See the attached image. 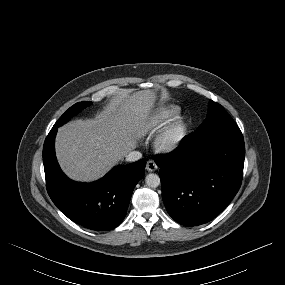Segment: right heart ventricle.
Returning <instances> with one entry per match:
<instances>
[{
    "label": "right heart ventricle",
    "mask_w": 285,
    "mask_h": 285,
    "mask_svg": "<svg viewBox=\"0 0 285 285\" xmlns=\"http://www.w3.org/2000/svg\"><path fill=\"white\" fill-rule=\"evenodd\" d=\"M180 113L179 107L171 104L161 105L150 111L141 121L139 132L153 134L162 129Z\"/></svg>",
    "instance_id": "1"
}]
</instances>
